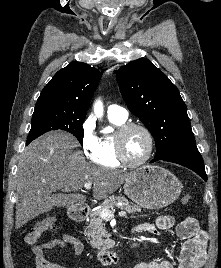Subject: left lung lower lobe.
Listing matches in <instances>:
<instances>
[{"mask_svg":"<svg viewBox=\"0 0 221 268\" xmlns=\"http://www.w3.org/2000/svg\"><path fill=\"white\" fill-rule=\"evenodd\" d=\"M163 160L168 162L177 163L183 165L193 171H195L199 176H201L205 181H207V175L204 168L203 159L197 149L196 144L187 145L180 147L163 159H153L151 163Z\"/></svg>","mask_w":221,"mask_h":268,"instance_id":"left-lung-lower-lobe-1","label":"left lung lower lobe"}]
</instances>
